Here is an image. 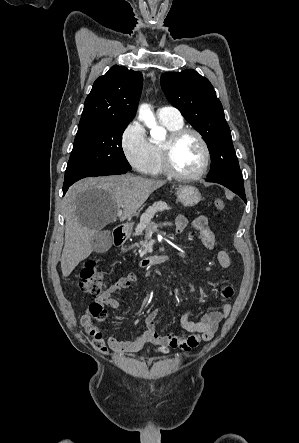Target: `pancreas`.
Listing matches in <instances>:
<instances>
[{"mask_svg": "<svg viewBox=\"0 0 299 443\" xmlns=\"http://www.w3.org/2000/svg\"><path fill=\"white\" fill-rule=\"evenodd\" d=\"M169 209L170 207L167 205V203L162 201L155 202L152 206L148 207V209L142 214L140 223L137 225L134 235H142L143 231L157 212H162ZM140 245L143 247L142 253H146L145 243L141 242Z\"/></svg>", "mask_w": 299, "mask_h": 443, "instance_id": "obj_1", "label": "pancreas"}]
</instances>
